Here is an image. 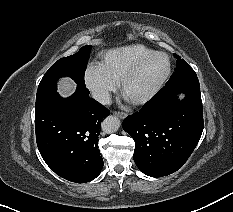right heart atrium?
I'll return each instance as SVG.
<instances>
[{"mask_svg": "<svg viewBox=\"0 0 233 212\" xmlns=\"http://www.w3.org/2000/svg\"><path fill=\"white\" fill-rule=\"evenodd\" d=\"M84 83L93 98L105 104L117 89L118 82L102 68L100 64H90L84 72Z\"/></svg>", "mask_w": 233, "mask_h": 212, "instance_id": "obj_1", "label": "right heart atrium"}]
</instances>
